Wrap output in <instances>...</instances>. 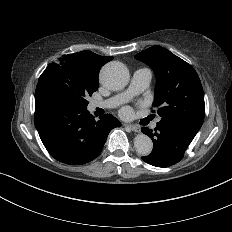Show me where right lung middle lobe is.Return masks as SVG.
I'll return each mask as SVG.
<instances>
[{
	"label": "right lung middle lobe",
	"instance_id": "dd1d6c3e",
	"mask_svg": "<svg viewBox=\"0 0 232 232\" xmlns=\"http://www.w3.org/2000/svg\"><path fill=\"white\" fill-rule=\"evenodd\" d=\"M97 89L98 79L84 77L53 62L41 74L35 96L47 94L66 104L86 109V97L92 96Z\"/></svg>",
	"mask_w": 232,
	"mask_h": 232
}]
</instances>
